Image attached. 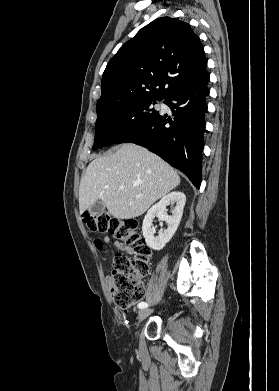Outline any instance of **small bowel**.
I'll use <instances>...</instances> for the list:
<instances>
[{
    "mask_svg": "<svg viewBox=\"0 0 279 391\" xmlns=\"http://www.w3.org/2000/svg\"><path fill=\"white\" fill-rule=\"evenodd\" d=\"M105 242L111 244L120 252L127 253V254H132L134 252L133 248H131L130 246L124 245L118 241H112V239L108 236L105 237Z\"/></svg>",
    "mask_w": 279,
    "mask_h": 391,
    "instance_id": "c3829d8e",
    "label": "small bowel"
}]
</instances>
